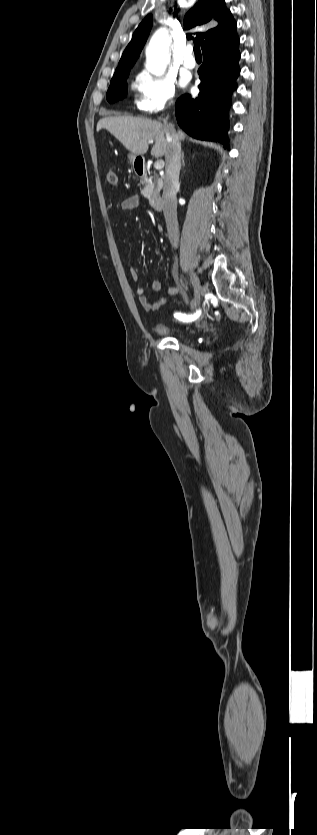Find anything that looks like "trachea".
Masks as SVG:
<instances>
[{
	"label": "trachea",
	"mask_w": 317,
	"mask_h": 835,
	"mask_svg": "<svg viewBox=\"0 0 317 835\" xmlns=\"http://www.w3.org/2000/svg\"><path fill=\"white\" fill-rule=\"evenodd\" d=\"M194 53L195 56H201L200 46L198 43H196V45L194 46Z\"/></svg>",
	"instance_id": "obj_1"
}]
</instances>
